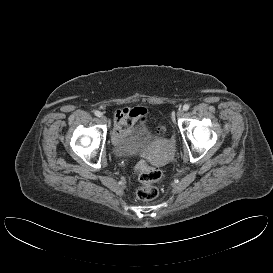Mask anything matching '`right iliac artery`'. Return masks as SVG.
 Returning a JSON list of instances; mask_svg holds the SVG:
<instances>
[{
    "label": "right iliac artery",
    "mask_w": 273,
    "mask_h": 273,
    "mask_svg": "<svg viewBox=\"0 0 273 273\" xmlns=\"http://www.w3.org/2000/svg\"><path fill=\"white\" fill-rule=\"evenodd\" d=\"M94 114L97 116V117H101L102 113L100 111H94Z\"/></svg>",
    "instance_id": "right-iliac-artery-1"
}]
</instances>
